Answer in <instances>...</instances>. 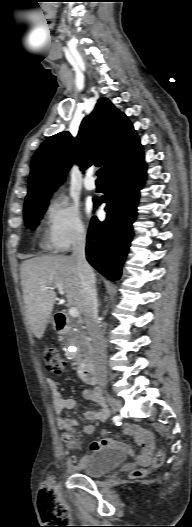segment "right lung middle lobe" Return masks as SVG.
<instances>
[{
    "instance_id": "1",
    "label": "right lung middle lobe",
    "mask_w": 192,
    "mask_h": 527,
    "mask_svg": "<svg viewBox=\"0 0 192 527\" xmlns=\"http://www.w3.org/2000/svg\"><path fill=\"white\" fill-rule=\"evenodd\" d=\"M48 200L24 207V220L26 227L34 230L43 213L46 211Z\"/></svg>"
}]
</instances>
